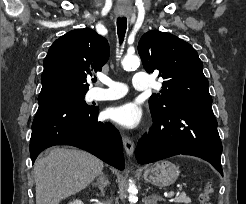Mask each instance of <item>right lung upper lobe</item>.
<instances>
[{"mask_svg":"<svg viewBox=\"0 0 246 204\" xmlns=\"http://www.w3.org/2000/svg\"><path fill=\"white\" fill-rule=\"evenodd\" d=\"M110 49L92 29H76L58 38L44 59L38 101L70 93H86L87 76L100 71Z\"/></svg>","mask_w":246,"mask_h":204,"instance_id":"obj_1","label":"right lung upper lobe"}]
</instances>
